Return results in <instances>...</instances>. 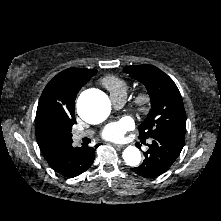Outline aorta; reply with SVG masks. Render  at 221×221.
Segmentation results:
<instances>
[{
	"instance_id": "aorta-1",
	"label": "aorta",
	"mask_w": 221,
	"mask_h": 221,
	"mask_svg": "<svg viewBox=\"0 0 221 221\" xmlns=\"http://www.w3.org/2000/svg\"><path fill=\"white\" fill-rule=\"evenodd\" d=\"M111 110L108 97L102 93L82 95L77 101L78 114L89 123H97L105 120ZM123 159L130 166H137L141 161L138 148L128 146L123 151Z\"/></svg>"
}]
</instances>
